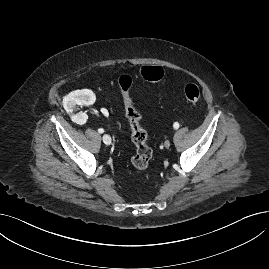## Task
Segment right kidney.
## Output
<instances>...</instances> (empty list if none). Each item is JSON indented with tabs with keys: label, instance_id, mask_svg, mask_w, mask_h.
Instances as JSON below:
<instances>
[{
	"label": "right kidney",
	"instance_id": "ca27d5eb",
	"mask_svg": "<svg viewBox=\"0 0 269 269\" xmlns=\"http://www.w3.org/2000/svg\"><path fill=\"white\" fill-rule=\"evenodd\" d=\"M96 100L95 93L89 89L75 90L63 98V106L67 113H72L76 105H92ZM83 121L88 116L83 113L80 115Z\"/></svg>",
	"mask_w": 269,
	"mask_h": 269
}]
</instances>
